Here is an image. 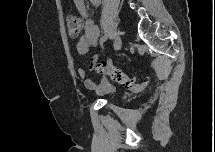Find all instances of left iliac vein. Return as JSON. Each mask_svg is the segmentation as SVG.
<instances>
[{
	"instance_id": "1",
	"label": "left iliac vein",
	"mask_w": 215,
	"mask_h": 152,
	"mask_svg": "<svg viewBox=\"0 0 215 152\" xmlns=\"http://www.w3.org/2000/svg\"><path fill=\"white\" fill-rule=\"evenodd\" d=\"M122 47V40L120 36H116L114 40V48L116 51L120 50Z\"/></svg>"
}]
</instances>
